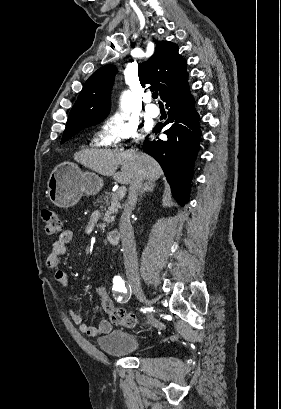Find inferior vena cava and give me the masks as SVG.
I'll return each instance as SVG.
<instances>
[{
    "label": "inferior vena cava",
    "mask_w": 281,
    "mask_h": 409,
    "mask_svg": "<svg viewBox=\"0 0 281 409\" xmlns=\"http://www.w3.org/2000/svg\"><path fill=\"white\" fill-rule=\"evenodd\" d=\"M134 176L129 186V198L130 200H136L139 190L144 180V172L141 170L140 162L134 164ZM131 211H124L120 221L119 229L122 239V249L124 257V265L126 269V277L128 281H139L138 273V259L136 253V243L134 237V231L130 223Z\"/></svg>",
    "instance_id": "inferior-vena-cava-1"
}]
</instances>
